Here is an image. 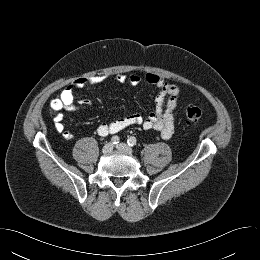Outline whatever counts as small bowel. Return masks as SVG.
I'll return each mask as SVG.
<instances>
[{
	"label": "small bowel",
	"mask_w": 260,
	"mask_h": 260,
	"mask_svg": "<svg viewBox=\"0 0 260 260\" xmlns=\"http://www.w3.org/2000/svg\"><path fill=\"white\" fill-rule=\"evenodd\" d=\"M107 78L108 77L104 74H96L81 77L69 84L60 94L62 107L73 112L86 108L89 105L86 101H83L80 105L76 104L74 95L75 90L103 83ZM115 80L118 83H128L135 87L141 82V77L137 74H131L129 76L117 74ZM144 80L146 83L159 89L155 98L154 110L146 117L136 113L109 123H101L97 127V133L100 136L104 137L109 134H115L132 125H140L146 130H156L163 139H169L173 135L175 119L181 108L179 101V85L169 82L164 77L155 73H147ZM55 127L66 140H72L74 138L73 134L65 129L62 122V114L56 116Z\"/></svg>",
	"instance_id": "1"
}]
</instances>
